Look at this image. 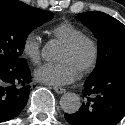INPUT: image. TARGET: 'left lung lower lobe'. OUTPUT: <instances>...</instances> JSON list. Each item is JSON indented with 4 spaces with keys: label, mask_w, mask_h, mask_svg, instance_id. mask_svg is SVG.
I'll return each instance as SVG.
<instances>
[{
    "label": "left lung lower lobe",
    "mask_w": 125,
    "mask_h": 125,
    "mask_svg": "<svg viewBox=\"0 0 125 125\" xmlns=\"http://www.w3.org/2000/svg\"><path fill=\"white\" fill-rule=\"evenodd\" d=\"M87 102L65 114L70 125H116L125 116V70H111L84 84Z\"/></svg>",
    "instance_id": "1"
}]
</instances>
